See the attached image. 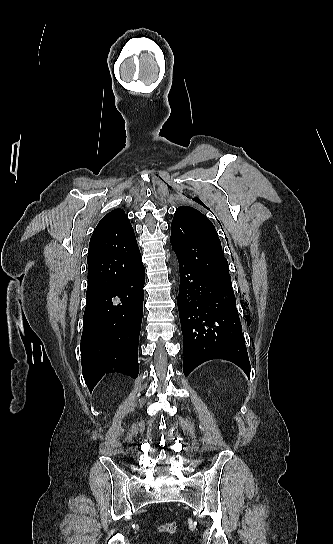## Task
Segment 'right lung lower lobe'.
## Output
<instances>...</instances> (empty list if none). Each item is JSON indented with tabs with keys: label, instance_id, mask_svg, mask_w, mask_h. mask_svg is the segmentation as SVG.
Instances as JSON below:
<instances>
[{
	"label": "right lung lower lobe",
	"instance_id": "obj_1",
	"mask_svg": "<svg viewBox=\"0 0 333 544\" xmlns=\"http://www.w3.org/2000/svg\"><path fill=\"white\" fill-rule=\"evenodd\" d=\"M145 269L139 264L109 289L87 297L81 337L82 374L90 390L110 372L136 378Z\"/></svg>",
	"mask_w": 333,
	"mask_h": 544
}]
</instances>
